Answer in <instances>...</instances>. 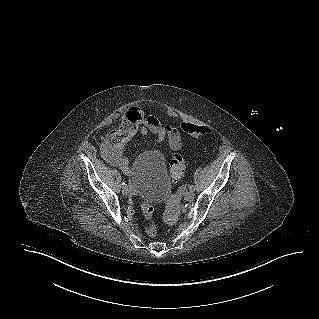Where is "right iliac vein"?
Masks as SVG:
<instances>
[{
    "label": "right iliac vein",
    "mask_w": 319,
    "mask_h": 319,
    "mask_svg": "<svg viewBox=\"0 0 319 319\" xmlns=\"http://www.w3.org/2000/svg\"><path fill=\"white\" fill-rule=\"evenodd\" d=\"M129 192H130V190H129V188H128V186L126 185L125 187H123V189H122V193L124 194V195H128L129 194Z\"/></svg>",
    "instance_id": "obj_1"
}]
</instances>
